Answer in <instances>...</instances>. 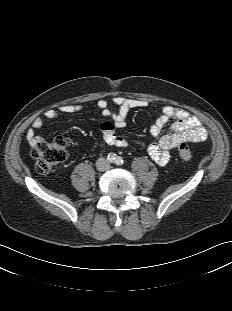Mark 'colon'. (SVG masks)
<instances>
[{
	"mask_svg": "<svg viewBox=\"0 0 232 311\" xmlns=\"http://www.w3.org/2000/svg\"><path fill=\"white\" fill-rule=\"evenodd\" d=\"M31 154L36 161L37 171L47 173L66 159L67 142L62 137H57L52 141H39L32 147ZM178 156L184 162L191 161V149L181 144L178 147Z\"/></svg>",
	"mask_w": 232,
	"mask_h": 311,
	"instance_id": "colon-1",
	"label": "colon"
}]
</instances>
